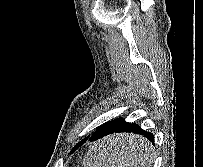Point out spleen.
Returning <instances> with one entry per match:
<instances>
[{
  "mask_svg": "<svg viewBox=\"0 0 203 167\" xmlns=\"http://www.w3.org/2000/svg\"><path fill=\"white\" fill-rule=\"evenodd\" d=\"M115 138L110 139L113 143ZM111 142V144H112ZM129 142L134 144L138 148V152L134 154L135 160H127L123 158L122 150H116L109 148L105 142L94 144V146L88 151L83 164L85 167H133L134 164L139 162L136 167H151L153 162V148L149 142L142 137H130ZM140 146V148H139ZM142 146L145 148L142 149Z\"/></svg>",
  "mask_w": 203,
  "mask_h": 167,
  "instance_id": "spleen-1",
  "label": "spleen"
}]
</instances>
